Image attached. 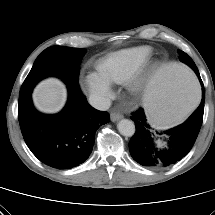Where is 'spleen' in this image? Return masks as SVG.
<instances>
[{
	"label": "spleen",
	"instance_id": "spleen-1",
	"mask_svg": "<svg viewBox=\"0 0 215 215\" xmlns=\"http://www.w3.org/2000/svg\"><path fill=\"white\" fill-rule=\"evenodd\" d=\"M198 79L182 65L171 63L160 68L147 86L144 107L156 127L181 121L200 101Z\"/></svg>",
	"mask_w": 215,
	"mask_h": 215
}]
</instances>
